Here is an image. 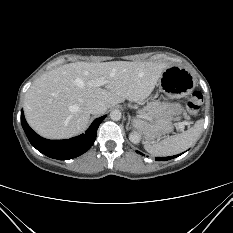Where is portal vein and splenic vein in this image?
<instances>
[{
    "label": "portal vein and splenic vein",
    "mask_w": 233,
    "mask_h": 233,
    "mask_svg": "<svg viewBox=\"0 0 233 233\" xmlns=\"http://www.w3.org/2000/svg\"><path fill=\"white\" fill-rule=\"evenodd\" d=\"M104 83H103V81H101V80H98V81H96L95 82V85L96 86H102ZM179 127L181 128V129H184V123H179Z\"/></svg>",
    "instance_id": "1"
}]
</instances>
